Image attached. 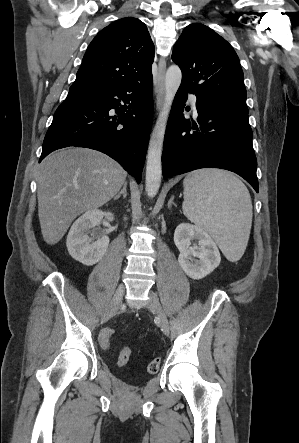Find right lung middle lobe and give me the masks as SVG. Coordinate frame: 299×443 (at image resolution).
I'll return each instance as SVG.
<instances>
[{
  "instance_id": "right-lung-middle-lobe-1",
  "label": "right lung middle lobe",
  "mask_w": 299,
  "mask_h": 443,
  "mask_svg": "<svg viewBox=\"0 0 299 443\" xmlns=\"http://www.w3.org/2000/svg\"><path fill=\"white\" fill-rule=\"evenodd\" d=\"M70 91H83L82 89H73V88H70Z\"/></svg>"
}]
</instances>
